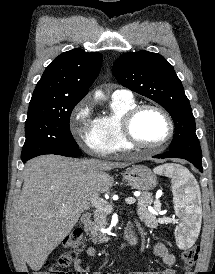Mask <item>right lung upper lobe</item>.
<instances>
[{"label": "right lung upper lobe", "instance_id": "cb5924a9", "mask_svg": "<svg viewBox=\"0 0 215 274\" xmlns=\"http://www.w3.org/2000/svg\"><path fill=\"white\" fill-rule=\"evenodd\" d=\"M102 55L76 48L62 53L44 71L31 103L79 102L100 71Z\"/></svg>", "mask_w": 215, "mask_h": 274}]
</instances>
